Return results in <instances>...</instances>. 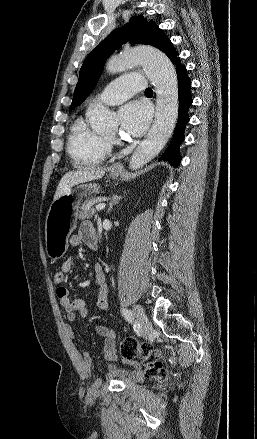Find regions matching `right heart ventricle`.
I'll use <instances>...</instances> for the list:
<instances>
[{"label":"right heart ventricle","instance_id":"right-heart-ventricle-1","mask_svg":"<svg viewBox=\"0 0 257 439\" xmlns=\"http://www.w3.org/2000/svg\"><path fill=\"white\" fill-rule=\"evenodd\" d=\"M67 146L71 159L78 167L99 166L107 151L105 139L81 119L72 125Z\"/></svg>","mask_w":257,"mask_h":439}]
</instances>
